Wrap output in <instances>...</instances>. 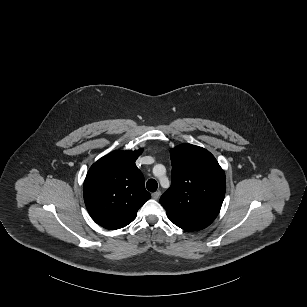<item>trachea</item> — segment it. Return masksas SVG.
<instances>
[{
  "mask_svg": "<svg viewBox=\"0 0 307 307\" xmlns=\"http://www.w3.org/2000/svg\"><path fill=\"white\" fill-rule=\"evenodd\" d=\"M146 187L150 192H155L157 190L158 184L155 180L150 179L147 181Z\"/></svg>",
  "mask_w": 307,
  "mask_h": 307,
  "instance_id": "1",
  "label": "trachea"
}]
</instances>
